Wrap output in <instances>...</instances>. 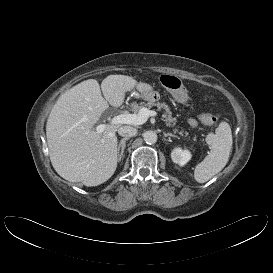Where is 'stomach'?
I'll return each instance as SVG.
<instances>
[{"label":"stomach","mask_w":273,"mask_h":273,"mask_svg":"<svg viewBox=\"0 0 273 273\" xmlns=\"http://www.w3.org/2000/svg\"><path fill=\"white\" fill-rule=\"evenodd\" d=\"M138 92L133 96L137 99L141 98L146 101L154 102L156 93L152 90V87L148 84L141 83L137 86Z\"/></svg>","instance_id":"0dacf381"}]
</instances>
